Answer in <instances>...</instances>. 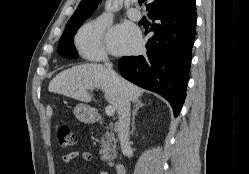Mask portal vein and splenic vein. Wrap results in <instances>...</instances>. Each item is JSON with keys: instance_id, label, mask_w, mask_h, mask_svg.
Segmentation results:
<instances>
[{"instance_id": "18ae733b", "label": "portal vein and splenic vein", "mask_w": 249, "mask_h": 174, "mask_svg": "<svg viewBox=\"0 0 249 174\" xmlns=\"http://www.w3.org/2000/svg\"><path fill=\"white\" fill-rule=\"evenodd\" d=\"M105 112L108 116H113L115 113V109L113 106L110 105L105 108Z\"/></svg>"}]
</instances>
